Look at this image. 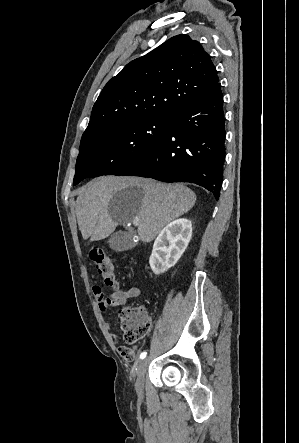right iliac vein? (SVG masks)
<instances>
[{
  "label": "right iliac vein",
  "instance_id": "obj_1",
  "mask_svg": "<svg viewBox=\"0 0 299 443\" xmlns=\"http://www.w3.org/2000/svg\"><path fill=\"white\" fill-rule=\"evenodd\" d=\"M148 367V361L147 359H144L139 362L138 369H137V380L135 383V388L137 393L142 396L143 395V388H144V376L146 373Z\"/></svg>",
  "mask_w": 299,
  "mask_h": 443
}]
</instances>
